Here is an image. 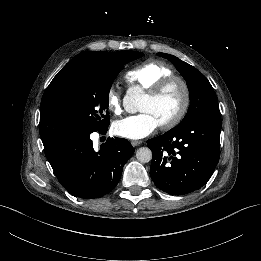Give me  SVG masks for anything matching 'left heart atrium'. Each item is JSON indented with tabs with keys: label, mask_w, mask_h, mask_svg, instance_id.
<instances>
[{
	"label": "left heart atrium",
	"mask_w": 261,
	"mask_h": 261,
	"mask_svg": "<svg viewBox=\"0 0 261 261\" xmlns=\"http://www.w3.org/2000/svg\"><path fill=\"white\" fill-rule=\"evenodd\" d=\"M160 123L151 112L129 116L113 124V133L129 140H139L153 133Z\"/></svg>",
	"instance_id": "left-heart-atrium-1"
}]
</instances>
